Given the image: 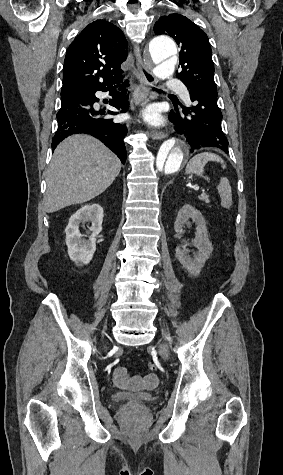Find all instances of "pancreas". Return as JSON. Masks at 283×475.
Here are the masks:
<instances>
[{
	"label": "pancreas",
	"instance_id": "pancreas-1",
	"mask_svg": "<svg viewBox=\"0 0 283 475\" xmlns=\"http://www.w3.org/2000/svg\"><path fill=\"white\" fill-rule=\"evenodd\" d=\"M199 200H202V202H206V204H209L210 202L209 196H206V194H201V196H199Z\"/></svg>",
	"mask_w": 283,
	"mask_h": 475
}]
</instances>
